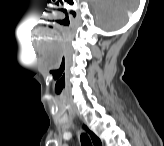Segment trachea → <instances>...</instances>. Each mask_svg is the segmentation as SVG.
<instances>
[{
  "label": "trachea",
  "mask_w": 164,
  "mask_h": 146,
  "mask_svg": "<svg viewBox=\"0 0 164 146\" xmlns=\"http://www.w3.org/2000/svg\"><path fill=\"white\" fill-rule=\"evenodd\" d=\"M81 144L82 146H92L89 137L86 134H81Z\"/></svg>",
  "instance_id": "1"
}]
</instances>
